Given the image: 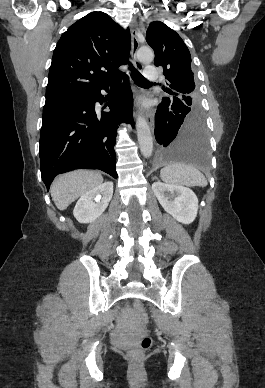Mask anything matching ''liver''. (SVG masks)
Segmentation results:
<instances>
[{"mask_svg": "<svg viewBox=\"0 0 265 388\" xmlns=\"http://www.w3.org/2000/svg\"><path fill=\"white\" fill-rule=\"evenodd\" d=\"M103 178L99 172H89V170H76L62 174L54 180L50 194L58 210H66L77 198L101 186Z\"/></svg>", "mask_w": 265, "mask_h": 388, "instance_id": "obj_1", "label": "liver"}]
</instances>
